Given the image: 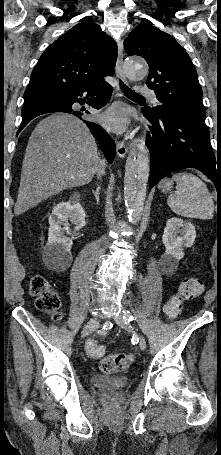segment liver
Instances as JSON below:
<instances>
[{
    "mask_svg": "<svg viewBox=\"0 0 221 455\" xmlns=\"http://www.w3.org/2000/svg\"><path fill=\"white\" fill-rule=\"evenodd\" d=\"M104 165L95 139L81 120L60 113L46 117L27 144L15 215L62 190L88 184Z\"/></svg>",
    "mask_w": 221,
    "mask_h": 455,
    "instance_id": "6515ba94",
    "label": "liver"
}]
</instances>
